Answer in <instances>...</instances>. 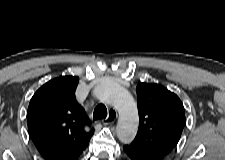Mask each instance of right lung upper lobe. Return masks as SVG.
Returning <instances> with one entry per match:
<instances>
[{
	"label": "right lung upper lobe",
	"instance_id": "1",
	"mask_svg": "<svg viewBox=\"0 0 225 160\" xmlns=\"http://www.w3.org/2000/svg\"><path fill=\"white\" fill-rule=\"evenodd\" d=\"M79 78L62 76L39 88L28 107V132L46 160H77L94 134L75 99Z\"/></svg>",
	"mask_w": 225,
	"mask_h": 160
}]
</instances>
